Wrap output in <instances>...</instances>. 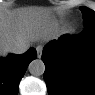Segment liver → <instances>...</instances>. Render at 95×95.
<instances>
[{"mask_svg": "<svg viewBox=\"0 0 95 95\" xmlns=\"http://www.w3.org/2000/svg\"><path fill=\"white\" fill-rule=\"evenodd\" d=\"M57 33V22L47 7L29 6L0 12V55L6 57L17 42L49 41Z\"/></svg>", "mask_w": 95, "mask_h": 95, "instance_id": "liver-1", "label": "liver"}]
</instances>
